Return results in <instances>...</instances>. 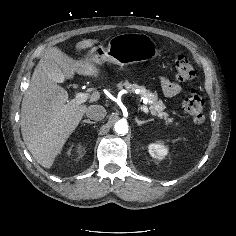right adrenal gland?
Masks as SVG:
<instances>
[{
    "label": "right adrenal gland",
    "instance_id": "1",
    "mask_svg": "<svg viewBox=\"0 0 236 236\" xmlns=\"http://www.w3.org/2000/svg\"><path fill=\"white\" fill-rule=\"evenodd\" d=\"M83 123H88V124H96V122L90 121V120H83Z\"/></svg>",
    "mask_w": 236,
    "mask_h": 236
}]
</instances>
